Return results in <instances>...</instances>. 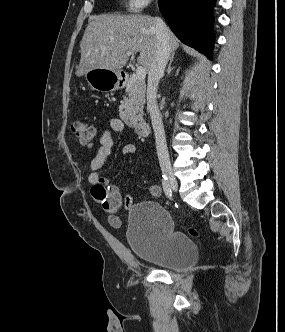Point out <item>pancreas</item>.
<instances>
[{
	"label": "pancreas",
	"instance_id": "1",
	"mask_svg": "<svg viewBox=\"0 0 285 332\" xmlns=\"http://www.w3.org/2000/svg\"><path fill=\"white\" fill-rule=\"evenodd\" d=\"M145 91L146 87L144 83L136 76H132L130 83L126 86V96L119 107L124 120L132 124L143 121Z\"/></svg>",
	"mask_w": 285,
	"mask_h": 332
}]
</instances>
